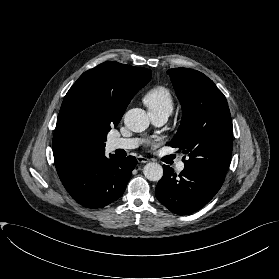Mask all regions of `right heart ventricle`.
Masks as SVG:
<instances>
[{
  "mask_svg": "<svg viewBox=\"0 0 279 279\" xmlns=\"http://www.w3.org/2000/svg\"><path fill=\"white\" fill-rule=\"evenodd\" d=\"M145 105L150 113L170 112L173 108V97L170 90L163 86L157 85L152 87L143 98Z\"/></svg>",
  "mask_w": 279,
  "mask_h": 279,
  "instance_id": "e07e8e85",
  "label": "right heart ventricle"
}]
</instances>
